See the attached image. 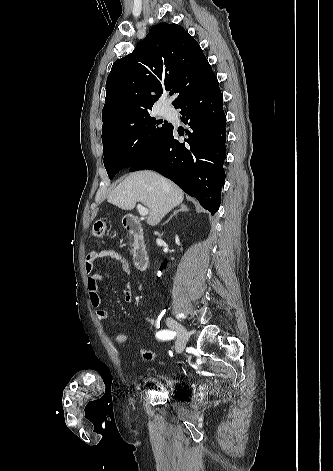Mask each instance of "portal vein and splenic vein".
I'll list each match as a JSON object with an SVG mask.
<instances>
[{
  "mask_svg": "<svg viewBox=\"0 0 333 471\" xmlns=\"http://www.w3.org/2000/svg\"><path fill=\"white\" fill-rule=\"evenodd\" d=\"M137 208H138L139 214H140L141 216H146V215H148L149 210H148L146 207L142 206L141 204H138V205H137Z\"/></svg>",
  "mask_w": 333,
  "mask_h": 471,
  "instance_id": "18ae733b",
  "label": "portal vein and splenic vein"
}]
</instances>
